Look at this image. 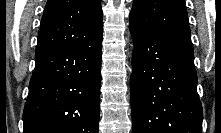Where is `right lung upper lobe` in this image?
<instances>
[{
	"mask_svg": "<svg viewBox=\"0 0 221 133\" xmlns=\"http://www.w3.org/2000/svg\"><path fill=\"white\" fill-rule=\"evenodd\" d=\"M101 0H48L38 32L36 53L74 47L103 29Z\"/></svg>",
	"mask_w": 221,
	"mask_h": 133,
	"instance_id": "cb5924a9",
	"label": "right lung upper lobe"
}]
</instances>
